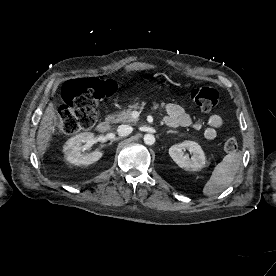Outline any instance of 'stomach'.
Listing matches in <instances>:
<instances>
[{"label":"stomach","instance_id":"obj_1","mask_svg":"<svg viewBox=\"0 0 276 276\" xmlns=\"http://www.w3.org/2000/svg\"><path fill=\"white\" fill-rule=\"evenodd\" d=\"M167 89H168V86H165V87H164V90H167Z\"/></svg>","mask_w":276,"mask_h":276}]
</instances>
